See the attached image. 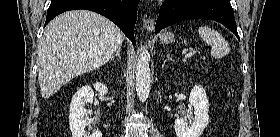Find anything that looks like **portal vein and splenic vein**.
Wrapping results in <instances>:
<instances>
[{"label": "portal vein and splenic vein", "instance_id": "1", "mask_svg": "<svg viewBox=\"0 0 280 137\" xmlns=\"http://www.w3.org/2000/svg\"><path fill=\"white\" fill-rule=\"evenodd\" d=\"M195 54H196L195 51H190L189 53H187V54L185 55V58L192 57V56L195 55Z\"/></svg>", "mask_w": 280, "mask_h": 137}]
</instances>
